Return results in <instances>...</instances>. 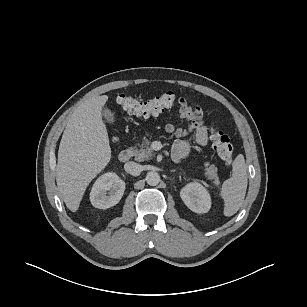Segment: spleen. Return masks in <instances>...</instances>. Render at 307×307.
I'll return each instance as SVG.
<instances>
[{"mask_svg": "<svg viewBox=\"0 0 307 307\" xmlns=\"http://www.w3.org/2000/svg\"><path fill=\"white\" fill-rule=\"evenodd\" d=\"M232 176L224 181L220 195L224 200L225 216L234 215L241 207L248 184L247 167L242 154H238L232 164Z\"/></svg>", "mask_w": 307, "mask_h": 307, "instance_id": "spleen-1", "label": "spleen"}]
</instances>
